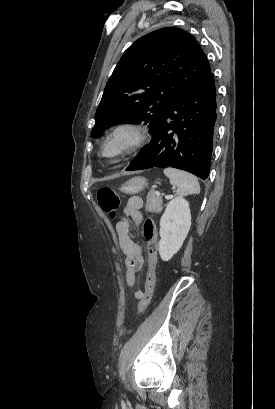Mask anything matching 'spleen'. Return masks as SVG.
I'll return each instance as SVG.
<instances>
[{
    "instance_id": "3e777b00",
    "label": "spleen",
    "mask_w": 275,
    "mask_h": 409,
    "mask_svg": "<svg viewBox=\"0 0 275 409\" xmlns=\"http://www.w3.org/2000/svg\"><path fill=\"white\" fill-rule=\"evenodd\" d=\"M164 174L170 178L171 184L177 186L179 196L200 192V184L194 174L185 172V170H178V168H164Z\"/></svg>"
}]
</instances>
